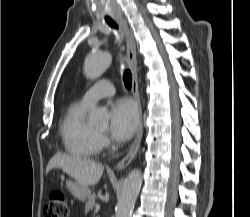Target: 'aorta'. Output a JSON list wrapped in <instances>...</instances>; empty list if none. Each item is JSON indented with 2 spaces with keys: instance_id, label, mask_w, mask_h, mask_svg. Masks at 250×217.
Wrapping results in <instances>:
<instances>
[{
  "instance_id": "1",
  "label": "aorta",
  "mask_w": 250,
  "mask_h": 217,
  "mask_svg": "<svg viewBox=\"0 0 250 217\" xmlns=\"http://www.w3.org/2000/svg\"><path fill=\"white\" fill-rule=\"evenodd\" d=\"M111 63V55L97 51L87 55L84 62V73L89 79L100 77ZM91 120L97 124H107L108 115L102 108H97L91 115ZM142 183V174L139 169L132 170L127 178L116 206V217H131L136 199Z\"/></svg>"
}]
</instances>
